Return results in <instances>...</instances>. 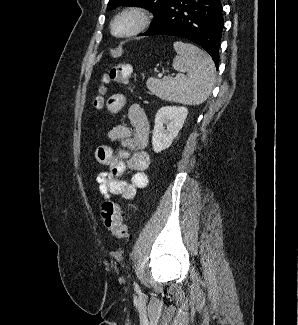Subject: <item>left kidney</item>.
<instances>
[{"label": "left kidney", "instance_id": "1", "mask_svg": "<svg viewBox=\"0 0 298 325\" xmlns=\"http://www.w3.org/2000/svg\"><path fill=\"white\" fill-rule=\"evenodd\" d=\"M187 114V106H161L158 108L152 134V146L155 152L169 148L175 136H178Z\"/></svg>", "mask_w": 298, "mask_h": 325}]
</instances>
